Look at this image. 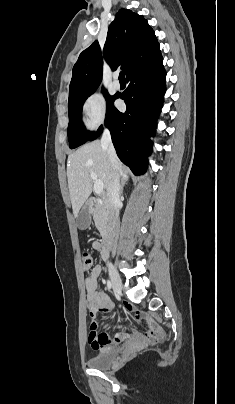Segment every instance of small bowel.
<instances>
[{"mask_svg":"<svg viewBox=\"0 0 235 404\" xmlns=\"http://www.w3.org/2000/svg\"><path fill=\"white\" fill-rule=\"evenodd\" d=\"M93 249L100 252L104 257L105 254L103 252V245L100 241H95L93 243ZM101 272V266L97 265L91 270L90 274L85 279L87 305L90 310V314L95 316L99 312L108 311L112 306L109 296L105 292L98 290V279ZM123 308L127 312H134L137 319L145 320L143 314L140 311L135 310L129 303H124ZM127 337L128 333L125 331L116 333L113 337H110L105 332L98 333V330H96L95 333L89 332V342L92 348L96 350L112 347L123 342L127 339Z\"/></svg>","mask_w":235,"mask_h":404,"instance_id":"small-bowel-1","label":"small bowel"}]
</instances>
